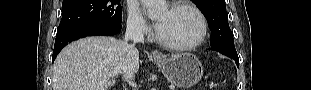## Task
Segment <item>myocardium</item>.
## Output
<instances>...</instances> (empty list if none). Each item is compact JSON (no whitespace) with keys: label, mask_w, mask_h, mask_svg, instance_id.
Here are the masks:
<instances>
[{"label":"myocardium","mask_w":311,"mask_h":90,"mask_svg":"<svg viewBox=\"0 0 311 90\" xmlns=\"http://www.w3.org/2000/svg\"><path fill=\"white\" fill-rule=\"evenodd\" d=\"M180 8L188 9L192 11L194 14H196V16L198 17L200 24H201V30H200L198 37L194 41L187 43V44H175V43H171V42L164 40L159 35V32L157 30L156 40L161 46L167 49L174 50V51H187V50L194 49L203 43L208 32V22H207L205 15L196 6L188 2H176L169 6L170 10H176Z\"/></svg>","instance_id":"1"}]
</instances>
